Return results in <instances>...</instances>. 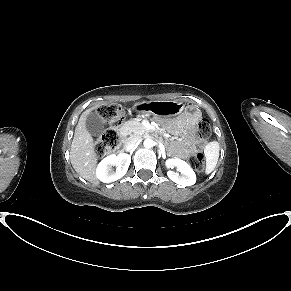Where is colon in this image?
I'll return each mask as SVG.
<instances>
[{
  "label": "colon",
  "instance_id": "1",
  "mask_svg": "<svg viewBox=\"0 0 291 291\" xmlns=\"http://www.w3.org/2000/svg\"><path fill=\"white\" fill-rule=\"evenodd\" d=\"M98 114L109 126L96 141V150L100 155L111 153L112 149L120 141L119 127L126 120V111L119 105H105L98 109ZM211 128L209 121L201 119L194 130V136L198 143H204L210 136ZM194 167L198 171L204 169V156L197 153L193 156Z\"/></svg>",
  "mask_w": 291,
  "mask_h": 291
}]
</instances>
